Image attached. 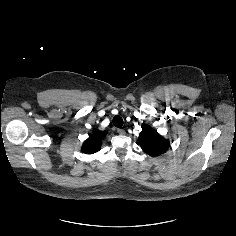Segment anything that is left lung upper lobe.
<instances>
[{"instance_id": "obj_1", "label": "left lung upper lobe", "mask_w": 236, "mask_h": 236, "mask_svg": "<svg viewBox=\"0 0 236 236\" xmlns=\"http://www.w3.org/2000/svg\"><path fill=\"white\" fill-rule=\"evenodd\" d=\"M138 142L142 149L150 156H158L167 151L169 141L159 135L148 125L142 127Z\"/></svg>"}]
</instances>
